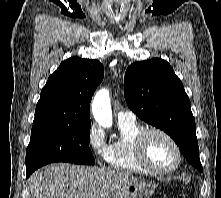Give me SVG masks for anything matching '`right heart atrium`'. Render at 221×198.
<instances>
[{
    "label": "right heart atrium",
    "mask_w": 221,
    "mask_h": 198,
    "mask_svg": "<svg viewBox=\"0 0 221 198\" xmlns=\"http://www.w3.org/2000/svg\"><path fill=\"white\" fill-rule=\"evenodd\" d=\"M88 146L98 162H107L109 154V144L106 141L103 130L92 124L87 135Z\"/></svg>",
    "instance_id": "obj_1"
}]
</instances>
